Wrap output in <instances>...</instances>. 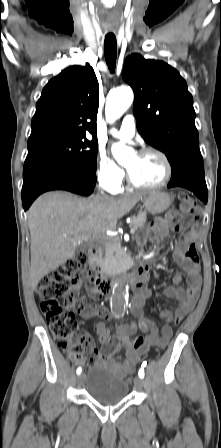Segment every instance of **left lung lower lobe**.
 I'll return each mask as SVG.
<instances>
[{
    "label": "left lung lower lobe",
    "mask_w": 221,
    "mask_h": 448,
    "mask_svg": "<svg viewBox=\"0 0 221 448\" xmlns=\"http://www.w3.org/2000/svg\"><path fill=\"white\" fill-rule=\"evenodd\" d=\"M171 187H184L192 191L204 203H207L208 191L201 155L190 157L185 162L172 167V176L168 188Z\"/></svg>",
    "instance_id": "0a47b994"
}]
</instances>
